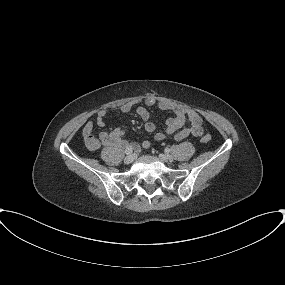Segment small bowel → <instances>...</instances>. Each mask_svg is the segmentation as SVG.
Returning a JSON list of instances; mask_svg holds the SVG:
<instances>
[{
	"mask_svg": "<svg viewBox=\"0 0 285 285\" xmlns=\"http://www.w3.org/2000/svg\"><path fill=\"white\" fill-rule=\"evenodd\" d=\"M136 106L137 115L143 120L144 128L149 133H154V139L156 141H163L167 135L174 134L176 140L181 141L189 136L200 137L203 135L202 119L194 110L175 106L165 101H159L154 97H145L141 99H135L121 104L118 109L122 113L130 112L133 107ZM156 106L162 111H172L173 117L166 120L165 130L156 131V125L151 121V114L147 107ZM188 123L189 126L183 128ZM106 126V111L100 110L97 113L95 121H89L85 124L82 134L86 147L95 151L101 146L112 145L119 148H132L134 151H140L142 148H149L150 142L143 141L142 144H138L133 141H129L125 138L126 128L118 127L111 132H101L98 137L94 136L95 127Z\"/></svg>",
	"mask_w": 285,
	"mask_h": 285,
	"instance_id": "1",
	"label": "small bowel"
}]
</instances>
